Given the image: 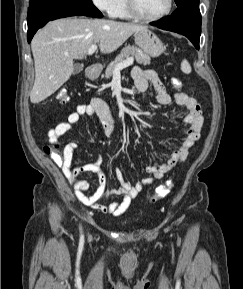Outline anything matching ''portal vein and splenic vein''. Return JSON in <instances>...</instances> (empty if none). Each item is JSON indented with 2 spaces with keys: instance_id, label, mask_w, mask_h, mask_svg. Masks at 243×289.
<instances>
[{
  "instance_id": "18ae733b",
  "label": "portal vein and splenic vein",
  "mask_w": 243,
  "mask_h": 289,
  "mask_svg": "<svg viewBox=\"0 0 243 289\" xmlns=\"http://www.w3.org/2000/svg\"><path fill=\"white\" fill-rule=\"evenodd\" d=\"M97 50V45L93 44L89 49H88V55H92L95 51ZM134 62V58L133 57H129L126 60H124L123 62L119 63L115 69H114V73H119L122 69L133 65Z\"/></svg>"
}]
</instances>
